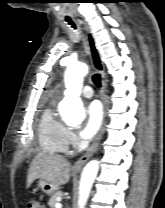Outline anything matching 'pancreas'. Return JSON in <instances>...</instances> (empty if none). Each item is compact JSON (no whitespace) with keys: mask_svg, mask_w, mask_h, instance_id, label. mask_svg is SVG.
Returning a JSON list of instances; mask_svg holds the SVG:
<instances>
[{"mask_svg":"<svg viewBox=\"0 0 165 208\" xmlns=\"http://www.w3.org/2000/svg\"><path fill=\"white\" fill-rule=\"evenodd\" d=\"M58 197H63V193L61 191H56L52 196L51 198L49 199V202H48V205L50 206V208H55V205L56 203L58 202L57 201V198Z\"/></svg>","mask_w":165,"mask_h":208,"instance_id":"obj_1","label":"pancreas"}]
</instances>
